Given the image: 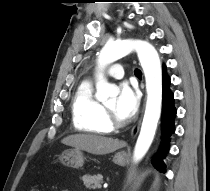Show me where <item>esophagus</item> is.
Returning <instances> with one entry per match:
<instances>
[{
    "mask_svg": "<svg viewBox=\"0 0 210 191\" xmlns=\"http://www.w3.org/2000/svg\"><path fill=\"white\" fill-rule=\"evenodd\" d=\"M139 125H140V121L138 122L137 125H135V126L133 127V129H132V131H131V136H132V138H135V137H136V135H137V133H138V131H139Z\"/></svg>",
    "mask_w": 210,
    "mask_h": 191,
    "instance_id": "obj_1",
    "label": "esophagus"
}]
</instances>
